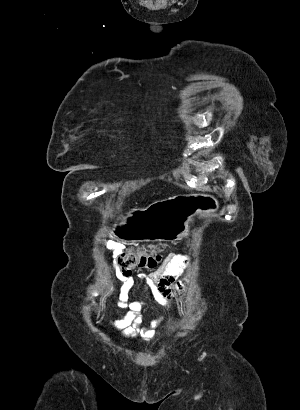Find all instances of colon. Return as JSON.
Masks as SVG:
<instances>
[{"instance_id": "1", "label": "colon", "mask_w": 300, "mask_h": 410, "mask_svg": "<svg viewBox=\"0 0 300 410\" xmlns=\"http://www.w3.org/2000/svg\"><path fill=\"white\" fill-rule=\"evenodd\" d=\"M115 261L122 274L129 276L137 270L157 267L162 261V256L155 251L128 249L119 254Z\"/></svg>"}]
</instances>
